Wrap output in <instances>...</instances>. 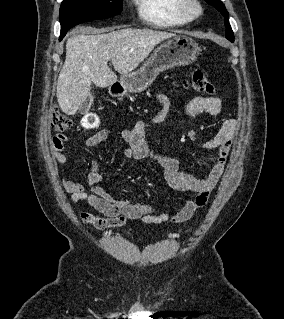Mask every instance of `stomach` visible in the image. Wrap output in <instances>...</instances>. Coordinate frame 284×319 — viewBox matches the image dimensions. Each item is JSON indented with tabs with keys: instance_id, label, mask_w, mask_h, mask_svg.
I'll list each match as a JSON object with an SVG mask.
<instances>
[{
	"instance_id": "1",
	"label": "stomach",
	"mask_w": 284,
	"mask_h": 319,
	"mask_svg": "<svg viewBox=\"0 0 284 319\" xmlns=\"http://www.w3.org/2000/svg\"><path fill=\"white\" fill-rule=\"evenodd\" d=\"M199 55L198 44L187 36H175L161 44L143 66L123 75L113 86L114 93H140L147 89L157 75L167 69L194 62Z\"/></svg>"
}]
</instances>
